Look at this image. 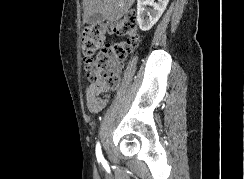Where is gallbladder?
<instances>
[{"instance_id":"gallbladder-1","label":"gallbladder","mask_w":244,"mask_h":179,"mask_svg":"<svg viewBox=\"0 0 244 179\" xmlns=\"http://www.w3.org/2000/svg\"><path fill=\"white\" fill-rule=\"evenodd\" d=\"M97 22H104L103 14H93L87 20V24H97Z\"/></svg>"}]
</instances>
